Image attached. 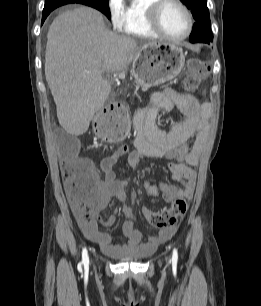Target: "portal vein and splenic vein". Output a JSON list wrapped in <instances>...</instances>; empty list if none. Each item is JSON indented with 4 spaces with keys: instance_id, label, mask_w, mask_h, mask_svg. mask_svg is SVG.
<instances>
[{
    "instance_id": "1",
    "label": "portal vein and splenic vein",
    "mask_w": 261,
    "mask_h": 306,
    "mask_svg": "<svg viewBox=\"0 0 261 306\" xmlns=\"http://www.w3.org/2000/svg\"><path fill=\"white\" fill-rule=\"evenodd\" d=\"M121 76H124V74H123V73H120V74H119V77H121Z\"/></svg>"
}]
</instances>
